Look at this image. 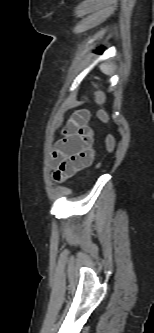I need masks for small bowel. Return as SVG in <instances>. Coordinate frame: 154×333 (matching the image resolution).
<instances>
[{"label": "small bowel", "mask_w": 154, "mask_h": 333, "mask_svg": "<svg viewBox=\"0 0 154 333\" xmlns=\"http://www.w3.org/2000/svg\"><path fill=\"white\" fill-rule=\"evenodd\" d=\"M89 118L88 111L77 112L64 130L63 138L56 143L51 167L57 182H63L92 165L95 133L88 125Z\"/></svg>", "instance_id": "1"}]
</instances>
